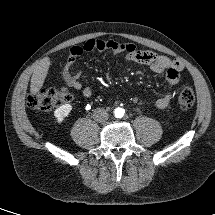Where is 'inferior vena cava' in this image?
Returning a JSON list of instances; mask_svg holds the SVG:
<instances>
[{
	"mask_svg": "<svg viewBox=\"0 0 215 215\" xmlns=\"http://www.w3.org/2000/svg\"><path fill=\"white\" fill-rule=\"evenodd\" d=\"M93 118L97 122H105L108 119V113L104 108H97L93 112Z\"/></svg>",
	"mask_w": 215,
	"mask_h": 215,
	"instance_id": "1",
	"label": "inferior vena cava"
}]
</instances>
